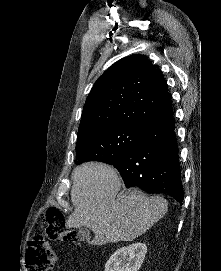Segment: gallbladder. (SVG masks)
Returning <instances> with one entry per match:
<instances>
[{"instance_id":"1","label":"gallbladder","mask_w":221,"mask_h":271,"mask_svg":"<svg viewBox=\"0 0 221 271\" xmlns=\"http://www.w3.org/2000/svg\"><path fill=\"white\" fill-rule=\"evenodd\" d=\"M77 235H78L80 241H89V239H90L89 227H78Z\"/></svg>"}]
</instances>
